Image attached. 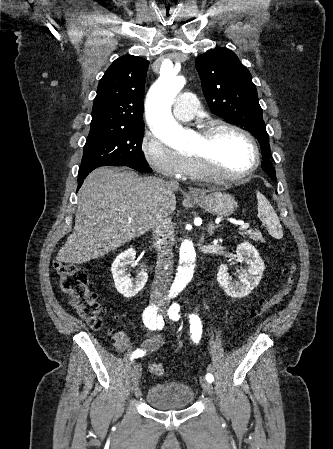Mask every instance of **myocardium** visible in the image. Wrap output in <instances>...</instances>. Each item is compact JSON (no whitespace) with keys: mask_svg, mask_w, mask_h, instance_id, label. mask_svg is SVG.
Instances as JSON below:
<instances>
[{"mask_svg":"<svg viewBox=\"0 0 333 449\" xmlns=\"http://www.w3.org/2000/svg\"><path fill=\"white\" fill-rule=\"evenodd\" d=\"M220 130H230L243 136L250 143L253 149L254 162L248 169L242 172L222 175L214 172L209 167L205 155L200 153L190 154L189 157L194 162L200 176L214 182H233L244 179L247 176L251 175L258 168L261 159L260 149L253 135L249 131L241 128L240 126L224 121H214L203 124L200 130L198 131V135L201 136L203 139L207 140L213 134H215Z\"/></svg>","mask_w":333,"mask_h":449,"instance_id":"obj_1","label":"myocardium"}]
</instances>
